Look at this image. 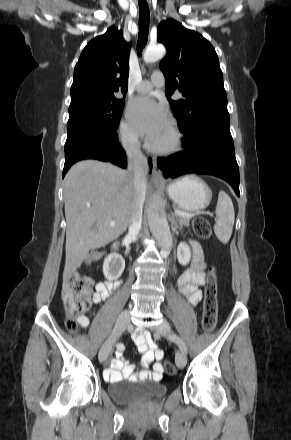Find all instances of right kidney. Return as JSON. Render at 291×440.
I'll use <instances>...</instances> for the list:
<instances>
[{
  "label": "right kidney",
  "instance_id": "1",
  "mask_svg": "<svg viewBox=\"0 0 291 440\" xmlns=\"http://www.w3.org/2000/svg\"><path fill=\"white\" fill-rule=\"evenodd\" d=\"M125 268V260L121 255L109 254L103 263V273L108 281L118 279Z\"/></svg>",
  "mask_w": 291,
  "mask_h": 440
}]
</instances>
